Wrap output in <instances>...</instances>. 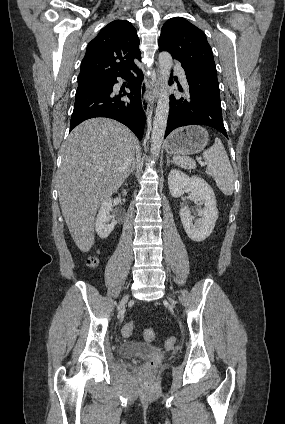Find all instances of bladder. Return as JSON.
Listing matches in <instances>:
<instances>
[{"instance_id": "31cf9c89", "label": "bladder", "mask_w": 285, "mask_h": 424, "mask_svg": "<svg viewBox=\"0 0 285 424\" xmlns=\"http://www.w3.org/2000/svg\"><path fill=\"white\" fill-rule=\"evenodd\" d=\"M157 352L156 348L145 343L125 342L120 347V354L123 357H144Z\"/></svg>"}]
</instances>
